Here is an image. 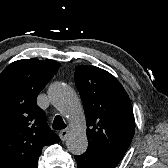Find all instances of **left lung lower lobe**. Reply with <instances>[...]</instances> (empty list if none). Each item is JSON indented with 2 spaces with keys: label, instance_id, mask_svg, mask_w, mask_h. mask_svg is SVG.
I'll return each mask as SVG.
<instances>
[{
  "label": "left lung lower lobe",
  "instance_id": "1",
  "mask_svg": "<svg viewBox=\"0 0 168 168\" xmlns=\"http://www.w3.org/2000/svg\"><path fill=\"white\" fill-rule=\"evenodd\" d=\"M75 159L78 162V168H115L119 163V161L89 148Z\"/></svg>",
  "mask_w": 168,
  "mask_h": 168
}]
</instances>
